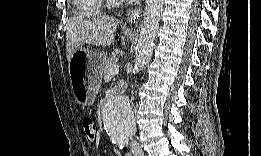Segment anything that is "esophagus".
<instances>
[{
  "instance_id": "obj_1",
  "label": "esophagus",
  "mask_w": 261,
  "mask_h": 156,
  "mask_svg": "<svg viewBox=\"0 0 261 156\" xmlns=\"http://www.w3.org/2000/svg\"><path fill=\"white\" fill-rule=\"evenodd\" d=\"M128 16L131 17V20H132V19L135 20L136 18L139 17V10H137V9L129 10Z\"/></svg>"
}]
</instances>
